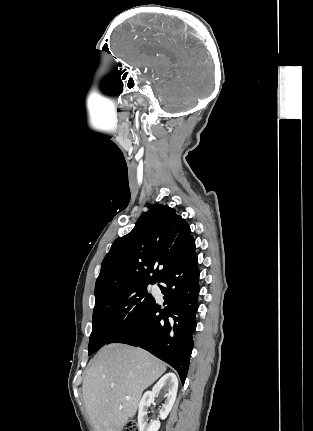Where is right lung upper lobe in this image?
<instances>
[{
    "mask_svg": "<svg viewBox=\"0 0 313 431\" xmlns=\"http://www.w3.org/2000/svg\"><path fill=\"white\" fill-rule=\"evenodd\" d=\"M193 240L188 223L167 205H153L133 230L117 238L105 256L95 301L111 293L159 282Z\"/></svg>",
    "mask_w": 313,
    "mask_h": 431,
    "instance_id": "right-lung-upper-lobe-1",
    "label": "right lung upper lobe"
}]
</instances>
